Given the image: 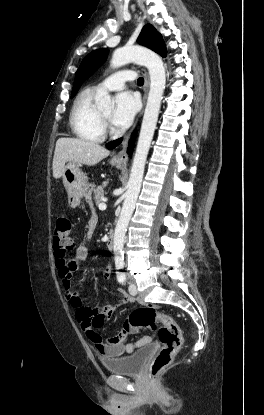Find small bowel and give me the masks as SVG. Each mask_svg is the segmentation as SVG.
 Listing matches in <instances>:
<instances>
[{"mask_svg":"<svg viewBox=\"0 0 264 415\" xmlns=\"http://www.w3.org/2000/svg\"><path fill=\"white\" fill-rule=\"evenodd\" d=\"M92 218H96L97 215L93 211L91 213L89 222ZM88 222V229L91 231L93 227ZM90 252V248L87 244H80L77 246L75 251V259L70 260L67 258V253H62L56 251V264L59 269V275L62 281L64 289V298L68 302L73 315L76 320L79 322L81 329L86 334V336L94 343L98 353L105 359L119 357L124 353H132L137 348L147 344L150 341V337L145 336L138 340L135 343H125L123 332L117 336L111 338L109 341H103L101 338L98 340H93L92 336L97 333L92 328V316L94 313L102 312L106 318H110L117 311L119 306L124 304H131L135 301V298L126 294L124 291H120L122 297L121 302L119 303H109L101 307V309H89L83 305L81 299V293L79 289L74 288L72 283V273L78 270L81 266V263L86 260ZM101 273L104 278L108 277L110 274L109 265H105L101 268ZM126 322V321H125ZM124 322L123 328L130 333H137L139 328L126 326Z\"/></svg>","mask_w":264,"mask_h":415,"instance_id":"c3829d8e","label":"small bowel"}]
</instances>
